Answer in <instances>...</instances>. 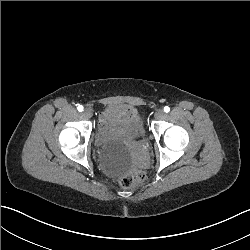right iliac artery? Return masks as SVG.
I'll list each match as a JSON object with an SVG mask.
<instances>
[{
  "instance_id": "82829eb1",
  "label": "right iliac artery",
  "mask_w": 250,
  "mask_h": 250,
  "mask_svg": "<svg viewBox=\"0 0 250 250\" xmlns=\"http://www.w3.org/2000/svg\"><path fill=\"white\" fill-rule=\"evenodd\" d=\"M77 110H78L79 112H82V111H83V106H82V105H79V106L77 107Z\"/></svg>"
}]
</instances>
